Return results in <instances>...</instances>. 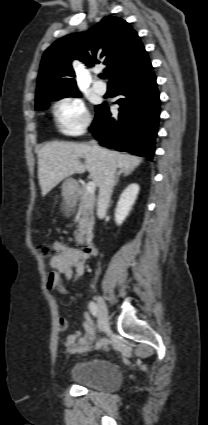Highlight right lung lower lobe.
<instances>
[{"label": "right lung lower lobe", "instance_id": "obj_1", "mask_svg": "<svg viewBox=\"0 0 208 425\" xmlns=\"http://www.w3.org/2000/svg\"><path fill=\"white\" fill-rule=\"evenodd\" d=\"M121 96L119 115L112 118L103 103L96 108L90 129L100 145L152 159L160 113L156 77L148 55L112 81Z\"/></svg>", "mask_w": 208, "mask_h": 425}]
</instances>
